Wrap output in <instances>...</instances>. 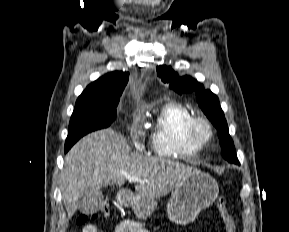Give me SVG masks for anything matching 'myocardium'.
I'll list each match as a JSON object with an SVG mask.
<instances>
[{
    "label": "myocardium",
    "instance_id": "1",
    "mask_svg": "<svg viewBox=\"0 0 289 232\" xmlns=\"http://www.w3.org/2000/svg\"><path fill=\"white\" fill-rule=\"evenodd\" d=\"M186 135L190 141L202 147L213 138V128L206 118L192 116L186 125Z\"/></svg>",
    "mask_w": 289,
    "mask_h": 232
}]
</instances>
